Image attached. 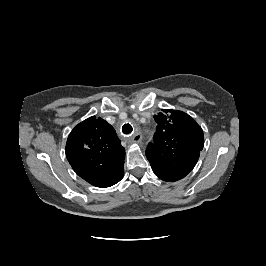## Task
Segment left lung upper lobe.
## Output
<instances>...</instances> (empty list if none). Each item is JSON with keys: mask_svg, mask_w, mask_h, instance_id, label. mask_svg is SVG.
<instances>
[{"mask_svg": "<svg viewBox=\"0 0 266 266\" xmlns=\"http://www.w3.org/2000/svg\"><path fill=\"white\" fill-rule=\"evenodd\" d=\"M157 123L154 142L146 157L155 175L164 181L184 178L196 165L204 146L202 128L188 114L163 110L154 116Z\"/></svg>", "mask_w": 266, "mask_h": 266, "instance_id": "obj_1", "label": "left lung upper lobe"}]
</instances>
